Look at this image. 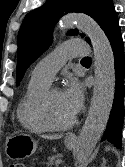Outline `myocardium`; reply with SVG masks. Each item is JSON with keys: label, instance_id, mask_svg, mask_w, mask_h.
Returning a JSON list of instances; mask_svg holds the SVG:
<instances>
[{"label": "myocardium", "instance_id": "obj_1", "mask_svg": "<svg viewBox=\"0 0 125 167\" xmlns=\"http://www.w3.org/2000/svg\"><path fill=\"white\" fill-rule=\"evenodd\" d=\"M59 91L56 87L48 88L41 96L38 106H37V114L40 122L50 131H64L70 129L76 122V117L73 116L69 121L63 124H57L52 121L49 110H48V102L50 96Z\"/></svg>", "mask_w": 125, "mask_h": 167}]
</instances>
